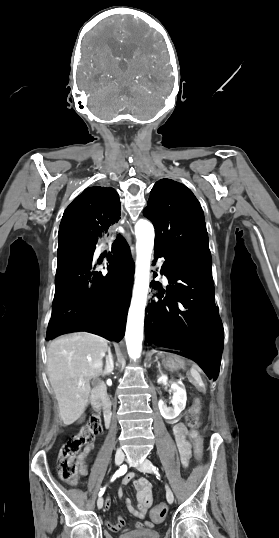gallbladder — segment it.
Returning <instances> with one entry per match:
<instances>
[{
	"instance_id": "bac80fb5",
	"label": "gallbladder",
	"mask_w": 279,
	"mask_h": 538,
	"mask_svg": "<svg viewBox=\"0 0 279 538\" xmlns=\"http://www.w3.org/2000/svg\"><path fill=\"white\" fill-rule=\"evenodd\" d=\"M94 383H97V380H94ZM80 418H81L82 420H85V419L87 418V415H86L85 413H82V414L80 415Z\"/></svg>"
}]
</instances>
